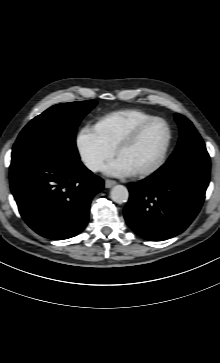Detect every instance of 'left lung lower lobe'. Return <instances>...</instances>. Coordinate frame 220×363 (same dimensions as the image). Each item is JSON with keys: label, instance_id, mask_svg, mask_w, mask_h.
I'll use <instances>...</instances> for the list:
<instances>
[{"label": "left lung lower lobe", "instance_id": "1", "mask_svg": "<svg viewBox=\"0 0 220 363\" xmlns=\"http://www.w3.org/2000/svg\"><path fill=\"white\" fill-rule=\"evenodd\" d=\"M210 179L207 151H190L167 162L138 183H130L124 209L140 237L161 241L183 232L198 214Z\"/></svg>", "mask_w": 220, "mask_h": 363}]
</instances>
